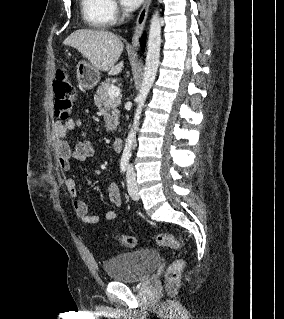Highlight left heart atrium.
<instances>
[{
	"label": "left heart atrium",
	"mask_w": 284,
	"mask_h": 319,
	"mask_svg": "<svg viewBox=\"0 0 284 319\" xmlns=\"http://www.w3.org/2000/svg\"><path fill=\"white\" fill-rule=\"evenodd\" d=\"M144 0H120L121 5L127 10L137 9Z\"/></svg>",
	"instance_id": "obj_1"
}]
</instances>
